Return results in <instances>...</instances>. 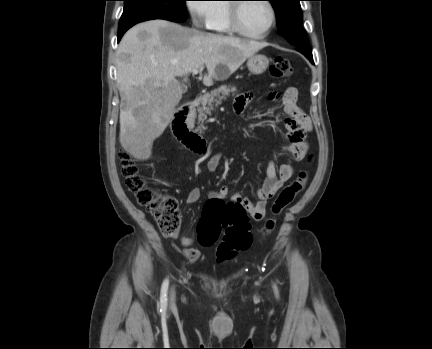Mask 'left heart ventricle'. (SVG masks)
<instances>
[{
  "label": "left heart ventricle",
  "instance_id": "b2bd125f",
  "mask_svg": "<svg viewBox=\"0 0 432 349\" xmlns=\"http://www.w3.org/2000/svg\"><path fill=\"white\" fill-rule=\"evenodd\" d=\"M242 27L253 34L263 33L271 21V12L266 3H246L240 9Z\"/></svg>",
  "mask_w": 432,
  "mask_h": 349
}]
</instances>
